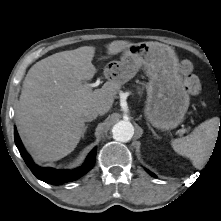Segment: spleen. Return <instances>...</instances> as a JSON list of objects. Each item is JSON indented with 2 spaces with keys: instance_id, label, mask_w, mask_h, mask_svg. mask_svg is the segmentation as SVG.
<instances>
[{
  "instance_id": "3e777b00",
  "label": "spleen",
  "mask_w": 221,
  "mask_h": 221,
  "mask_svg": "<svg viewBox=\"0 0 221 221\" xmlns=\"http://www.w3.org/2000/svg\"><path fill=\"white\" fill-rule=\"evenodd\" d=\"M219 130V119L211 118L198 127L190 135L175 139L171 145L175 152L189 158L194 167L202 169L210 158Z\"/></svg>"
}]
</instances>
